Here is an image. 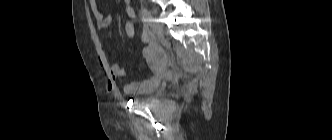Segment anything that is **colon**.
<instances>
[{"label":"colon","instance_id":"obj_1","mask_svg":"<svg viewBox=\"0 0 332 140\" xmlns=\"http://www.w3.org/2000/svg\"><path fill=\"white\" fill-rule=\"evenodd\" d=\"M124 31L127 36H133L135 34V27L131 21H127L124 24Z\"/></svg>","mask_w":332,"mask_h":140}]
</instances>
